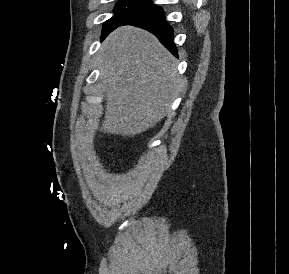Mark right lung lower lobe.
<instances>
[{"label":"right lung lower lobe","mask_w":289,"mask_h":274,"mask_svg":"<svg viewBox=\"0 0 289 274\" xmlns=\"http://www.w3.org/2000/svg\"><path fill=\"white\" fill-rule=\"evenodd\" d=\"M123 25H133L148 30L153 33L173 55L178 56L174 44L173 29L165 21L164 11L161 7L154 6L124 22L120 26Z\"/></svg>","instance_id":"obj_1"}]
</instances>
